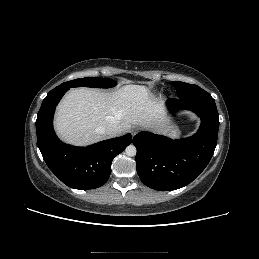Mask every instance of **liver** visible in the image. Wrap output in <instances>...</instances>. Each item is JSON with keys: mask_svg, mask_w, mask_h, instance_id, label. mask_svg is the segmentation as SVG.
Masks as SVG:
<instances>
[{"mask_svg": "<svg viewBox=\"0 0 259 259\" xmlns=\"http://www.w3.org/2000/svg\"><path fill=\"white\" fill-rule=\"evenodd\" d=\"M115 123L123 133L132 125L164 133L168 124L162 100L141 85H124L113 92L90 88L71 89L57 107L54 126L66 143L86 146L107 135L99 128Z\"/></svg>", "mask_w": 259, "mask_h": 259, "instance_id": "liver-1", "label": "liver"}]
</instances>
